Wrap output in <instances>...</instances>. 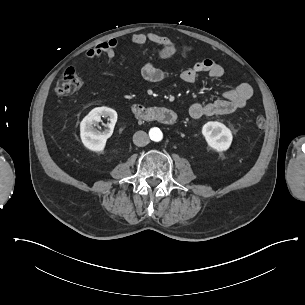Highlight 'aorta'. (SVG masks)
Masks as SVG:
<instances>
[{"label": "aorta", "instance_id": "1", "mask_svg": "<svg viewBox=\"0 0 305 305\" xmlns=\"http://www.w3.org/2000/svg\"><path fill=\"white\" fill-rule=\"evenodd\" d=\"M162 137H163V135L160 130H156V131L152 132V139L154 141H160L162 139Z\"/></svg>", "mask_w": 305, "mask_h": 305}]
</instances>
